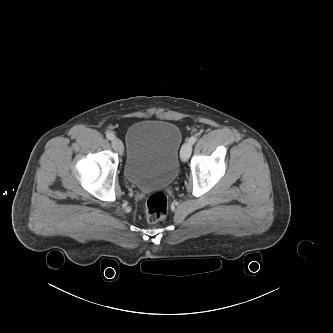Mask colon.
<instances>
[{
	"label": "colon",
	"instance_id": "obj_1",
	"mask_svg": "<svg viewBox=\"0 0 333 333\" xmlns=\"http://www.w3.org/2000/svg\"><path fill=\"white\" fill-rule=\"evenodd\" d=\"M168 212V198L164 193L151 195L145 206L146 219L150 223H156L164 219Z\"/></svg>",
	"mask_w": 333,
	"mask_h": 333
}]
</instances>
